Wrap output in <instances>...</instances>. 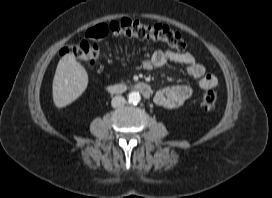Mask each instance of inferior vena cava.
<instances>
[{
	"label": "inferior vena cava",
	"mask_w": 272,
	"mask_h": 198,
	"mask_svg": "<svg viewBox=\"0 0 272 198\" xmlns=\"http://www.w3.org/2000/svg\"><path fill=\"white\" fill-rule=\"evenodd\" d=\"M126 103V99L123 96H115L112 98L111 105L114 108L123 106Z\"/></svg>",
	"instance_id": "602c4592"
}]
</instances>
